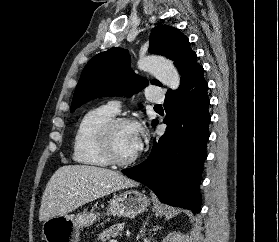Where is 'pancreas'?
I'll list each match as a JSON object with an SVG mask.
<instances>
[{
	"label": "pancreas",
	"mask_w": 279,
	"mask_h": 242,
	"mask_svg": "<svg viewBox=\"0 0 279 242\" xmlns=\"http://www.w3.org/2000/svg\"><path fill=\"white\" fill-rule=\"evenodd\" d=\"M123 228H124V224L112 225L111 227L103 230L102 233L98 234V239L101 240L102 242H106L107 240H110L111 238L120 235Z\"/></svg>",
	"instance_id": "1"
}]
</instances>
